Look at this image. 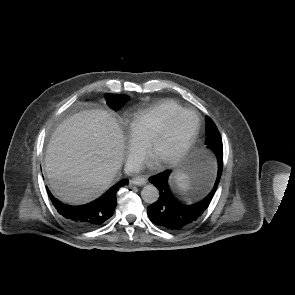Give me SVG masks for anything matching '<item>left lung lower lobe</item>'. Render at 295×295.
I'll use <instances>...</instances> for the list:
<instances>
[{
	"label": "left lung lower lobe",
	"instance_id": "0a47b994",
	"mask_svg": "<svg viewBox=\"0 0 295 295\" xmlns=\"http://www.w3.org/2000/svg\"><path fill=\"white\" fill-rule=\"evenodd\" d=\"M213 151L218 160L217 178L213 189L200 202L185 204L172 196L167 185L171 171H164L149 178V181L158 188L160 193L159 199L147 208L148 216L154 224L167 230H181L196 221L208 208L219 184L223 167V153Z\"/></svg>",
	"mask_w": 295,
	"mask_h": 295
}]
</instances>
